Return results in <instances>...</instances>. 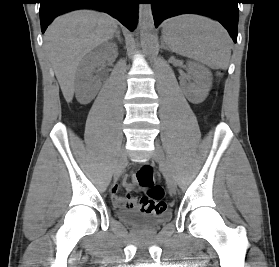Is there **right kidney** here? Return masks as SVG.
<instances>
[{"label":"right kidney","instance_id":"ca27d5eb","mask_svg":"<svg viewBox=\"0 0 279 267\" xmlns=\"http://www.w3.org/2000/svg\"><path fill=\"white\" fill-rule=\"evenodd\" d=\"M110 55L111 49L108 47L100 48L88 55L87 63L76 80V97L81 104H88L95 97L101 82L92 72Z\"/></svg>","mask_w":279,"mask_h":267}]
</instances>
